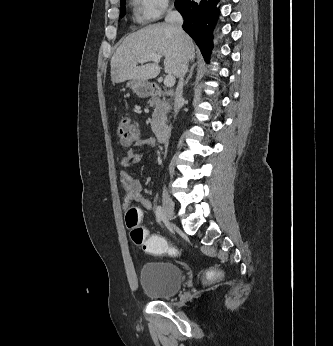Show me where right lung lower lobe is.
<instances>
[{"label": "right lung lower lobe", "mask_w": 333, "mask_h": 346, "mask_svg": "<svg viewBox=\"0 0 333 346\" xmlns=\"http://www.w3.org/2000/svg\"><path fill=\"white\" fill-rule=\"evenodd\" d=\"M219 0H176L175 7L182 14L183 29L193 38L206 61L213 44V29L218 18L216 7Z\"/></svg>", "instance_id": "1"}]
</instances>
